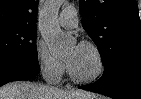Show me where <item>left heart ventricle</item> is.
Masks as SVG:
<instances>
[{
    "label": "left heart ventricle",
    "instance_id": "obj_1",
    "mask_svg": "<svg viewBox=\"0 0 141 99\" xmlns=\"http://www.w3.org/2000/svg\"><path fill=\"white\" fill-rule=\"evenodd\" d=\"M72 71L79 77H88L97 70V61L93 52L83 46L73 47L66 55Z\"/></svg>",
    "mask_w": 141,
    "mask_h": 99
}]
</instances>
